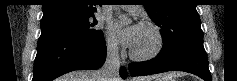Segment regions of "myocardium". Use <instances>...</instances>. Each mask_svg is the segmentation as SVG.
<instances>
[{"instance_id": "f54148a6", "label": "myocardium", "mask_w": 237, "mask_h": 81, "mask_svg": "<svg viewBox=\"0 0 237 81\" xmlns=\"http://www.w3.org/2000/svg\"><path fill=\"white\" fill-rule=\"evenodd\" d=\"M140 26L147 27L152 30L156 43L152 50L145 54H136L132 49L130 50V57L135 61H148L160 54L164 47V37L157 25L150 21H141Z\"/></svg>"}]
</instances>
